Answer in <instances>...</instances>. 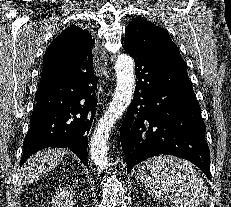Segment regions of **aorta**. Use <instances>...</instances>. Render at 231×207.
<instances>
[{
    "instance_id": "1",
    "label": "aorta",
    "mask_w": 231,
    "mask_h": 207,
    "mask_svg": "<svg viewBox=\"0 0 231 207\" xmlns=\"http://www.w3.org/2000/svg\"><path fill=\"white\" fill-rule=\"evenodd\" d=\"M116 89L104 116L98 122L90 142V156L96 165L106 169L107 139L116 121L130 105L135 90L134 60L127 54H121L115 62Z\"/></svg>"
}]
</instances>
